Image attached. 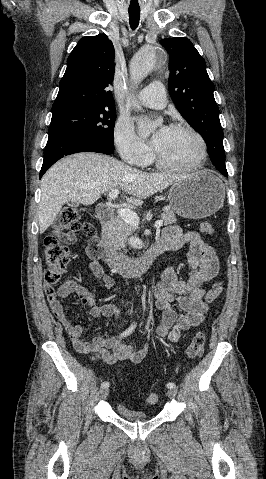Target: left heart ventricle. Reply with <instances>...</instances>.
Here are the masks:
<instances>
[{
	"mask_svg": "<svg viewBox=\"0 0 266 479\" xmlns=\"http://www.w3.org/2000/svg\"><path fill=\"white\" fill-rule=\"evenodd\" d=\"M155 150L164 162L182 165L193 163L197 159L199 145L189 132L167 129Z\"/></svg>",
	"mask_w": 266,
	"mask_h": 479,
	"instance_id": "b2bd125f",
	"label": "left heart ventricle"
}]
</instances>
